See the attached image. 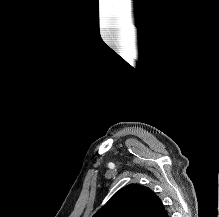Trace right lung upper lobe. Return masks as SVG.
<instances>
[{"label": "right lung upper lobe", "mask_w": 219, "mask_h": 217, "mask_svg": "<svg viewBox=\"0 0 219 217\" xmlns=\"http://www.w3.org/2000/svg\"><path fill=\"white\" fill-rule=\"evenodd\" d=\"M93 217H169L162 201L148 187L130 184L120 189Z\"/></svg>", "instance_id": "cb5924a9"}]
</instances>
